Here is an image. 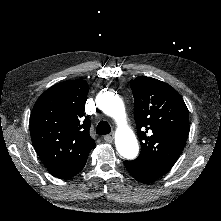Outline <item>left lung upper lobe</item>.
Listing matches in <instances>:
<instances>
[{"label": "left lung upper lobe", "mask_w": 221, "mask_h": 221, "mask_svg": "<svg viewBox=\"0 0 221 221\" xmlns=\"http://www.w3.org/2000/svg\"><path fill=\"white\" fill-rule=\"evenodd\" d=\"M141 153L133 161L161 177L177 161L189 134L188 109L170 85L140 76L130 81Z\"/></svg>", "instance_id": "1"}]
</instances>
